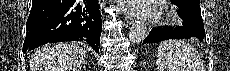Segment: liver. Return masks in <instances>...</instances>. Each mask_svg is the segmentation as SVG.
Segmentation results:
<instances>
[{"label":"liver","mask_w":230,"mask_h":71,"mask_svg":"<svg viewBox=\"0 0 230 71\" xmlns=\"http://www.w3.org/2000/svg\"><path fill=\"white\" fill-rule=\"evenodd\" d=\"M86 51L78 43H61L37 50L30 60L31 71H80Z\"/></svg>","instance_id":"liver-1"}]
</instances>
